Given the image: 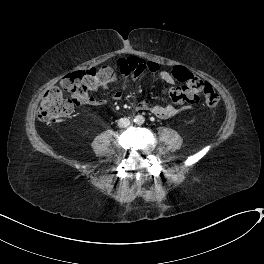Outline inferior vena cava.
I'll use <instances>...</instances> for the list:
<instances>
[{
  "label": "inferior vena cava",
  "instance_id": "obj_1",
  "mask_svg": "<svg viewBox=\"0 0 264 264\" xmlns=\"http://www.w3.org/2000/svg\"><path fill=\"white\" fill-rule=\"evenodd\" d=\"M130 125V120L128 118H121L118 120V126L124 128Z\"/></svg>",
  "mask_w": 264,
  "mask_h": 264
}]
</instances>
